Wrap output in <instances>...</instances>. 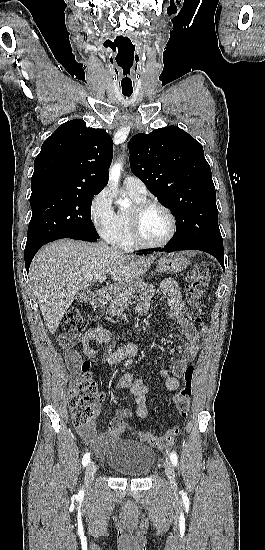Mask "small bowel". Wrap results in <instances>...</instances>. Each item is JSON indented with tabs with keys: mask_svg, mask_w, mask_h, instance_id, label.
<instances>
[{
	"mask_svg": "<svg viewBox=\"0 0 265 550\" xmlns=\"http://www.w3.org/2000/svg\"><path fill=\"white\" fill-rule=\"evenodd\" d=\"M160 292L166 298V306L170 311V316L174 319L183 331L185 338V347L180 358L172 365L171 369L162 368L160 375L165 378V388L174 392L179 387V381L188 367V364L195 360L199 351L204 346V336L197 331L192 323H190L183 315V296L180 288L175 281L171 279L165 280ZM150 309L149 301H142L137 306V313L145 315ZM95 341L98 344H111L112 340L107 329L102 326L91 328L79 335L62 336L60 343L67 348L66 358L71 368H75L80 362L82 355L76 349L77 345L82 347V353L92 359L97 358V353L90 347V342ZM138 355V346L133 343L125 344L118 349L107 354L106 360L111 364H119L127 359L134 358ZM118 388L128 389L135 397L137 405L136 415L140 419H146L148 410L146 406V398L150 393L146 383L131 373H123L117 383ZM115 415L121 418L132 416V411L128 408L121 407L116 409ZM80 435L84 443L93 447L97 451L102 450L109 444L112 435L109 432H97L94 424L80 429Z\"/></svg>",
	"mask_w": 265,
	"mask_h": 550,
	"instance_id": "1",
	"label": "small bowel"
}]
</instances>
